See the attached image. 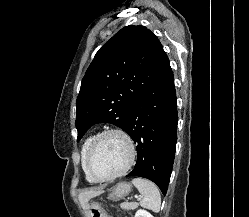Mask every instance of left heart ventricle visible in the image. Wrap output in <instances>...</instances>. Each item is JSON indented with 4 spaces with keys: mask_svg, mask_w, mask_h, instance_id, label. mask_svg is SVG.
Masks as SVG:
<instances>
[{
    "mask_svg": "<svg viewBox=\"0 0 249 217\" xmlns=\"http://www.w3.org/2000/svg\"><path fill=\"white\" fill-rule=\"evenodd\" d=\"M129 149L118 135H107L96 145L90 168L97 177H108L120 171L127 163Z\"/></svg>",
    "mask_w": 249,
    "mask_h": 217,
    "instance_id": "obj_1",
    "label": "left heart ventricle"
}]
</instances>
